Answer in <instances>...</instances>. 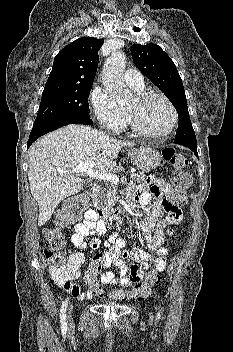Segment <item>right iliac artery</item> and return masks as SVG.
Instances as JSON below:
<instances>
[{"instance_id": "obj_1", "label": "right iliac artery", "mask_w": 233, "mask_h": 352, "mask_svg": "<svg viewBox=\"0 0 233 352\" xmlns=\"http://www.w3.org/2000/svg\"><path fill=\"white\" fill-rule=\"evenodd\" d=\"M68 300H65L60 309V321H61V328L62 330L67 329V322H66V309H67Z\"/></svg>"}]
</instances>
